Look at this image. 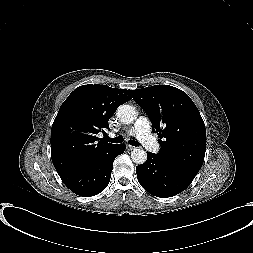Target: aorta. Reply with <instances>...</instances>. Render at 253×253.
<instances>
[{"instance_id":"762f6f07","label":"aorta","mask_w":253,"mask_h":253,"mask_svg":"<svg viewBox=\"0 0 253 253\" xmlns=\"http://www.w3.org/2000/svg\"><path fill=\"white\" fill-rule=\"evenodd\" d=\"M116 115L121 123L130 124L136 119L137 113L133 106L123 104L118 107ZM131 159L134 163L140 165L147 160V154L143 149L136 148L131 152Z\"/></svg>"}]
</instances>
